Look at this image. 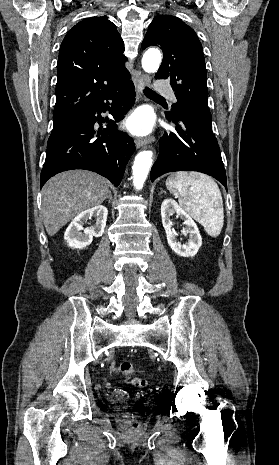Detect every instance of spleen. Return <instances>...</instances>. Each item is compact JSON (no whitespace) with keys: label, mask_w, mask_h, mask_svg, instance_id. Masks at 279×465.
<instances>
[{"label":"spleen","mask_w":279,"mask_h":465,"mask_svg":"<svg viewBox=\"0 0 279 465\" xmlns=\"http://www.w3.org/2000/svg\"><path fill=\"white\" fill-rule=\"evenodd\" d=\"M166 187L210 236L217 237L221 233L223 200L218 185L211 177L199 173H173L166 179Z\"/></svg>","instance_id":"obj_1"}]
</instances>
